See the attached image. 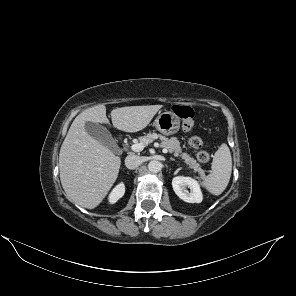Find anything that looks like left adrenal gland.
<instances>
[{
  "label": "left adrenal gland",
  "instance_id": "1",
  "mask_svg": "<svg viewBox=\"0 0 296 296\" xmlns=\"http://www.w3.org/2000/svg\"><path fill=\"white\" fill-rule=\"evenodd\" d=\"M169 160H170V161H176V160H175V159H173V158H170Z\"/></svg>",
  "mask_w": 296,
  "mask_h": 296
}]
</instances>
